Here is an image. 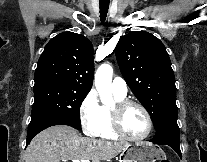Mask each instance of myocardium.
Masks as SVG:
<instances>
[{
  "instance_id": "myocardium-1",
  "label": "myocardium",
  "mask_w": 207,
  "mask_h": 162,
  "mask_svg": "<svg viewBox=\"0 0 207 162\" xmlns=\"http://www.w3.org/2000/svg\"><path fill=\"white\" fill-rule=\"evenodd\" d=\"M135 106L139 108L145 115L147 121V128L146 131L137 137L127 135L122 129V115L123 113L130 107ZM110 120H111V127L114 134L122 139L130 140V141H141L147 138L153 129V122L151 115L147 108L138 101L124 99L121 101H117L114 106L109 110Z\"/></svg>"
}]
</instances>
